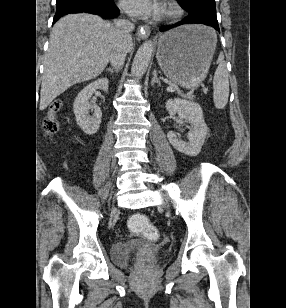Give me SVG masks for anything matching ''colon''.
<instances>
[{
	"label": "colon",
	"mask_w": 286,
	"mask_h": 308,
	"mask_svg": "<svg viewBox=\"0 0 286 308\" xmlns=\"http://www.w3.org/2000/svg\"><path fill=\"white\" fill-rule=\"evenodd\" d=\"M62 107L60 100H54L49 107V112L43 121V131L46 137H52L59 130V120L57 113ZM129 227L133 231L144 235L148 239L155 240L158 238V231L151 225L150 221L142 214H134L129 219Z\"/></svg>",
	"instance_id": "1"
}]
</instances>
